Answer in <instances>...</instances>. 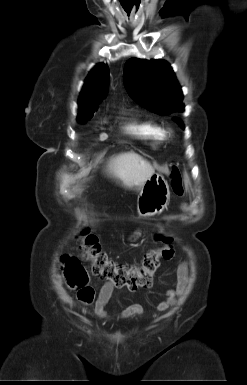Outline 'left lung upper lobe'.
<instances>
[{"instance_id": "obj_1", "label": "left lung upper lobe", "mask_w": 247, "mask_h": 385, "mask_svg": "<svg viewBox=\"0 0 247 385\" xmlns=\"http://www.w3.org/2000/svg\"><path fill=\"white\" fill-rule=\"evenodd\" d=\"M124 84L133 100L154 113L184 111L181 87L163 60L129 59L124 68ZM176 122L183 126L179 120Z\"/></svg>"}]
</instances>
